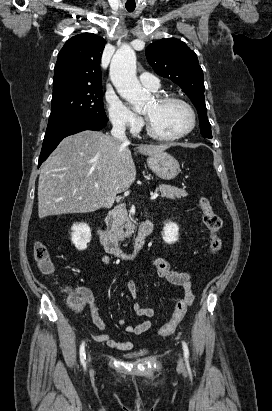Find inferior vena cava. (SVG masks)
<instances>
[{"label":"inferior vena cava","mask_w":272,"mask_h":411,"mask_svg":"<svg viewBox=\"0 0 272 411\" xmlns=\"http://www.w3.org/2000/svg\"><path fill=\"white\" fill-rule=\"evenodd\" d=\"M111 135L122 142L123 145L129 143L125 134V124L123 122H113V127L111 130Z\"/></svg>","instance_id":"1"}]
</instances>
